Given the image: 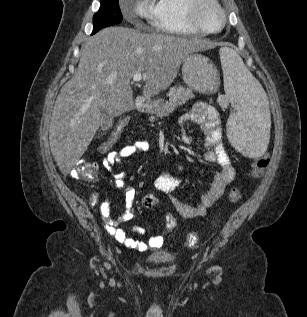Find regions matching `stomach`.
Listing matches in <instances>:
<instances>
[{
    "instance_id": "1",
    "label": "stomach",
    "mask_w": 307,
    "mask_h": 317,
    "mask_svg": "<svg viewBox=\"0 0 307 317\" xmlns=\"http://www.w3.org/2000/svg\"><path fill=\"white\" fill-rule=\"evenodd\" d=\"M184 82L198 92H214L218 88V74L212 61L199 53L188 54L182 62ZM157 101H149L147 112L155 113L159 108Z\"/></svg>"
}]
</instances>
